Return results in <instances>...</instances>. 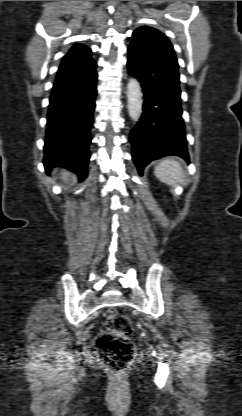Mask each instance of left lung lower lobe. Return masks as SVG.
<instances>
[{
	"mask_svg": "<svg viewBox=\"0 0 242 416\" xmlns=\"http://www.w3.org/2000/svg\"><path fill=\"white\" fill-rule=\"evenodd\" d=\"M128 72L141 83L143 113L130 134L132 158L140 175L151 161L176 155L188 161L178 64L160 41L133 33Z\"/></svg>",
	"mask_w": 242,
	"mask_h": 416,
	"instance_id": "1",
	"label": "left lung lower lobe"
}]
</instances>
